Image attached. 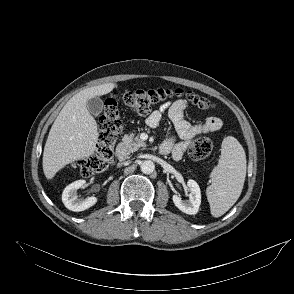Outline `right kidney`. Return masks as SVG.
I'll use <instances>...</instances> for the list:
<instances>
[{
    "label": "right kidney",
    "mask_w": 294,
    "mask_h": 294,
    "mask_svg": "<svg viewBox=\"0 0 294 294\" xmlns=\"http://www.w3.org/2000/svg\"><path fill=\"white\" fill-rule=\"evenodd\" d=\"M86 185L85 180H77L69 184L62 193V201L66 208L71 211L79 212L84 211L92 207L97 202V198L94 196L86 199L78 198L77 190Z\"/></svg>",
    "instance_id": "1"
}]
</instances>
